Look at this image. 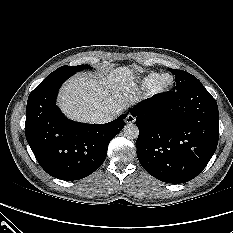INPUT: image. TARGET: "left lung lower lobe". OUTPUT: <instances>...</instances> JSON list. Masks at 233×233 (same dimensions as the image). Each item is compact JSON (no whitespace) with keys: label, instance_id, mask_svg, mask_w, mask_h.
<instances>
[{"label":"left lung lower lobe","instance_id":"0a47b994","mask_svg":"<svg viewBox=\"0 0 233 233\" xmlns=\"http://www.w3.org/2000/svg\"><path fill=\"white\" fill-rule=\"evenodd\" d=\"M131 114L139 128V162L163 182L192 180L216 151L218 106L203 85L156 94L140 102Z\"/></svg>","mask_w":233,"mask_h":233}]
</instances>
